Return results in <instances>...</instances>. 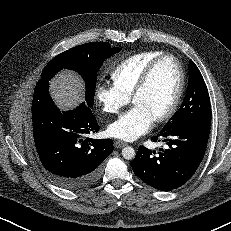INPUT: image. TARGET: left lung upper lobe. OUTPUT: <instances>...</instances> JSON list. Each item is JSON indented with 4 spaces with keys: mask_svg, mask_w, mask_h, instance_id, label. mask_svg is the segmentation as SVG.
I'll return each instance as SVG.
<instances>
[{
    "mask_svg": "<svg viewBox=\"0 0 231 231\" xmlns=\"http://www.w3.org/2000/svg\"><path fill=\"white\" fill-rule=\"evenodd\" d=\"M186 123L211 124V106L204 79L195 65L189 62L187 93L179 110L162 130H169Z\"/></svg>",
    "mask_w": 231,
    "mask_h": 231,
    "instance_id": "left-lung-upper-lobe-1",
    "label": "left lung upper lobe"
}]
</instances>
